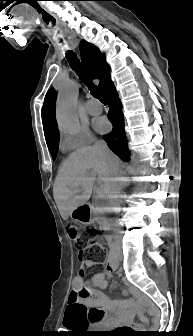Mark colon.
<instances>
[{
  "mask_svg": "<svg viewBox=\"0 0 193 336\" xmlns=\"http://www.w3.org/2000/svg\"><path fill=\"white\" fill-rule=\"evenodd\" d=\"M67 233L69 237L76 243L79 248V257L83 262H96L102 257V248L95 236H91L88 242H84L79 235L76 225L69 224L67 226ZM83 295H89L84 292ZM146 332L139 333V336H146Z\"/></svg>",
  "mask_w": 193,
  "mask_h": 336,
  "instance_id": "obj_1",
  "label": "colon"
}]
</instances>
